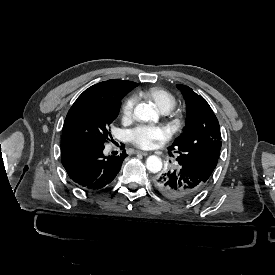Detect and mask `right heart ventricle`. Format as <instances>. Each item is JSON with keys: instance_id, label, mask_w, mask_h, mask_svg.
<instances>
[{"instance_id": "1", "label": "right heart ventricle", "mask_w": 275, "mask_h": 275, "mask_svg": "<svg viewBox=\"0 0 275 275\" xmlns=\"http://www.w3.org/2000/svg\"><path fill=\"white\" fill-rule=\"evenodd\" d=\"M140 94L155 101L164 112L168 111L175 105L174 96L159 87H151L147 90L141 91Z\"/></svg>"}]
</instances>
